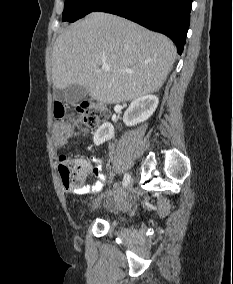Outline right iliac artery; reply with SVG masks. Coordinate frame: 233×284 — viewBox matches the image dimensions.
I'll list each match as a JSON object with an SVG mask.
<instances>
[{
	"mask_svg": "<svg viewBox=\"0 0 233 284\" xmlns=\"http://www.w3.org/2000/svg\"><path fill=\"white\" fill-rule=\"evenodd\" d=\"M129 182H130V175L126 173L123 178V186H126V183Z\"/></svg>",
	"mask_w": 233,
	"mask_h": 284,
	"instance_id": "1",
	"label": "right iliac artery"
}]
</instances>
